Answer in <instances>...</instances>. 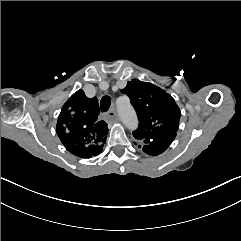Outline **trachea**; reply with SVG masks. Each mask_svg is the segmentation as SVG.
I'll use <instances>...</instances> for the list:
<instances>
[{
	"label": "trachea",
	"instance_id": "3493384b",
	"mask_svg": "<svg viewBox=\"0 0 241 241\" xmlns=\"http://www.w3.org/2000/svg\"><path fill=\"white\" fill-rule=\"evenodd\" d=\"M111 105V98L109 96L102 97L100 101V108L102 112H107Z\"/></svg>",
	"mask_w": 241,
	"mask_h": 241
}]
</instances>
